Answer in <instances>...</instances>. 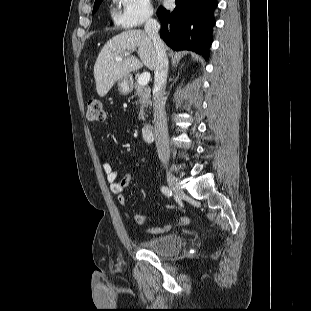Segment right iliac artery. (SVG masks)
Wrapping results in <instances>:
<instances>
[{
	"label": "right iliac artery",
	"instance_id": "right-iliac-artery-1",
	"mask_svg": "<svg viewBox=\"0 0 311 311\" xmlns=\"http://www.w3.org/2000/svg\"><path fill=\"white\" fill-rule=\"evenodd\" d=\"M161 191L164 195L168 197L172 195V191L166 186L161 187Z\"/></svg>",
	"mask_w": 311,
	"mask_h": 311
}]
</instances>
